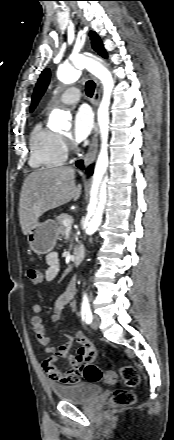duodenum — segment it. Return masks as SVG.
<instances>
[{"label": "duodenum", "instance_id": "410a0bca", "mask_svg": "<svg viewBox=\"0 0 174 440\" xmlns=\"http://www.w3.org/2000/svg\"><path fill=\"white\" fill-rule=\"evenodd\" d=\"M85 257V249L82 245H79L76 250H75V254H74V264H80Z\"/></svg>", "mask_w": 174, "mask_h": 440}]
</instances>
